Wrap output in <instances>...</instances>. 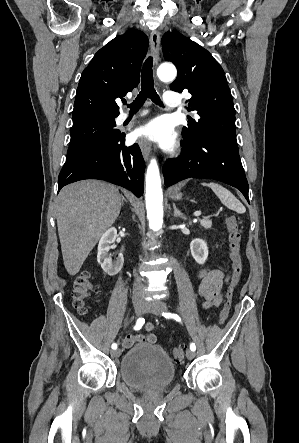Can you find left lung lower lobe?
<instances>
[{"label":"left lung lower lobe","mask_w":299,"mask_h":443,"mask_svg":"<svg viewBox=\"0 0 299 443\" xmlns=\"http://www.w3.org/2000/svg\"><path fill=\"white\" fill-rule=\"evenodd\" d=\"M182 146L181 155L163 166L166 186L190 177L210 178L236 187L249 202L248 182L235 142L205 136L194 141L183 138Z\"/></svg>","instance_id":"0a47b994"}]
</instances>
